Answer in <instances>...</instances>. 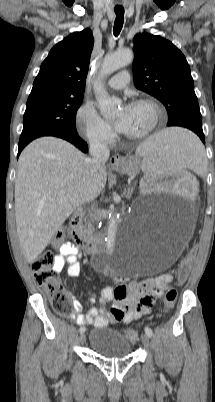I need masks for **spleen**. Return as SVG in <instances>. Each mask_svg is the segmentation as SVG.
I'll return each mask as SVG.
<instances>
[{"label": "spleen", "instance_id": "1", "mask_svg": "<svg viewBox=\"0 0 215 402\" xmlns=\"http://www.w3.org/2000/svg\"><path fill=\"white\" fill-rule=\"evenodd\" d=\"M137 153L144 156L141 168L145 175L148 170L202 173L205 163L201 139L192 128H167L155 133L138 147Z\"/></svg>", "mask_w": 215, "mask_h": 402}]
</instances>
